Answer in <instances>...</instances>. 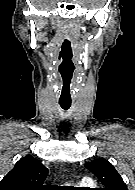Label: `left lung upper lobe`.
I'll use <instances>...</instances> for the list:
<instances>
[{
    "mask_svg": "<svg viewBox=\"0 0 135 190\" xmlns=\"http://www.w3.org/2000/svg\"><path fill=\"white\" fill-rule=\"evenodd\" d=\"M105 186L102 190H127L122 177L114 166L105 159H96L85 164Z\"/></svg>",
    "mask_w": 135,
    "mask_h": 190,
    "instance_id": "obj_1",
    "label": "left lung upper lobe"
}]
</instances>
